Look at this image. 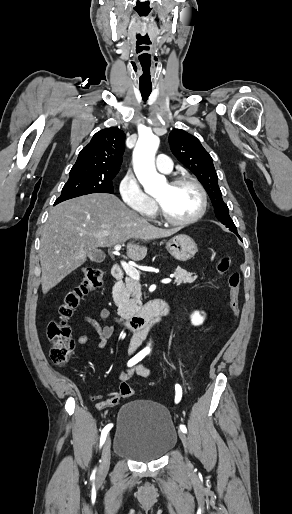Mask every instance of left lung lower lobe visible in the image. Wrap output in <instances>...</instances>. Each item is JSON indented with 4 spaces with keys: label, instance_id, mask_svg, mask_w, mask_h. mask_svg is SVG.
Returning <instances> with one entry per match:
<instances>
[{
    "label": "left lung lower lobe",
    "instance_id": "left-lung-lower-lobe-1",
    "mask_svg": "<svg viewBox=\"0 0 292 514\" xmlns=\"http://www.w3.org/2000/svg\"><path fill=\"white\" fill-rule=\"evenodd\" d=\"M236 235L240 238V236H239L238 234H236ZM240 239H241V238H240Z\"/></svg>",
    "mask_w": 292,
    "mask_h": 514
}]
</instances>
